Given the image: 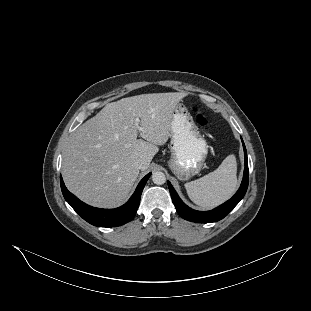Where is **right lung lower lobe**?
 Segmentation results:
<instances>
[{"label": "right lung lower lobe", "instance_id": "right-lung-lower-lobe-1", "mask_svg": "<svg viewBox=\"0 0 311 311\" xmlns=\"http://www.w3.org/2000/svg\"><path fill=\"white\" fill-rule=\"evenodd\" d=\"M150 175L147 174L140 181L128 202L116 209H99L83 203L67 190L61 176L60 185L65 200L84 220L98 227H116L131 221L135 216L142 190Z\"/></svg>", "mask_w": 311, "mask_h": 311}]
</instances>
